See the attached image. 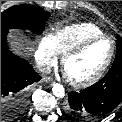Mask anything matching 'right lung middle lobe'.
<instances>
[{"mask_svg":"<svg viewBox=\"0 0 122 122\" xmlns=\"http://www.w3.org/2000/svg\"><path fill=\"white\" fill-rule=\"evenodd\" d=\"M49 15V12H45L37 6L16 5L1 13V30L18 28L28 29L34 34H41Z\"/></svg>","mask_w":122,"mask_h":122,"instance_id":"1","label":"right lung middle lobe"}]
</instances>
